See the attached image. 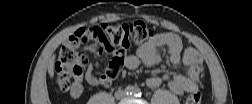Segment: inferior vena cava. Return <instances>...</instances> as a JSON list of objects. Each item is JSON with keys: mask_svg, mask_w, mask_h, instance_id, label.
<instances>
[{"mask_svg": "<svg viewBox=\"0 0 252 104\" xmlns=\"http://www.w3.org/2000/svg\"><path fill=\"white\" fill-rule=\"evenodd\" d=\"M125 97H126V93H125L124 90H118V91L115 92V98H116L117 100H122V99H124Z\"/></svg>", "mask_w": 252, "mask_h": 104, "instance_id": "inferior-vena-cava-1", "label": "inferior vena cava"}]
</instances>
